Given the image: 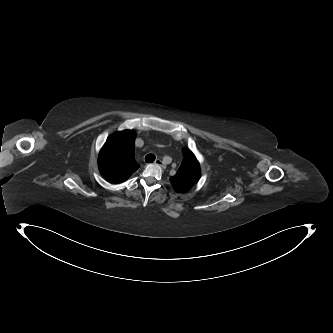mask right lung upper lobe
<instances>
[{"label": "right lung upper lobe", "instance_id": "cb5924a9", "mask_svg": "<svg viewBox=\"0 0 333 333\" xmlns=\"http://www.w3.org/2000/svg\"><path fill=\"white\" fill-rule=\"evenodd\" d=\"M135 138L133 130H124L112 134L103 145L98 166L109 183L126 181L140 167L134 160Z\"/></svg>", "mask_w": 333, "mask_h": 333}]
</instances>
